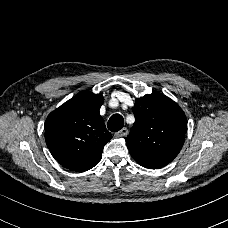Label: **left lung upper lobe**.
Wrapping results in <instances>:
<instances>
[{"label":"left lung upper lobe","instance_id":"obj_1","mask_svg":"<svg viewBox=\"0 0 228 228\" xmlns=\"http://www.w3.org/2000/svg\"><path fill=\"white\" fill-rule=\"evenodd\" d=\"M135 123L125 138L131 156L141 166L158 169L180 152L187 132L183 110L170 98L152 92L135 101Z\"/></svg>","mask_w":228,"mask_h":228}]
</instances>
